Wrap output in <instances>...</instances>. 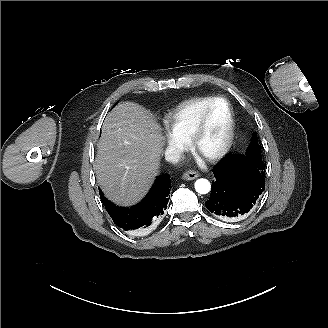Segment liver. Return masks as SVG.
<instances>
[{
  "label": "liver",
  "mask_w": 328,
  "mask_h": 328,
  "mask_svg": "<svg viewBox=\"0 0 328 328\" xmlns=\"http://www.w3.org/2000/svg\"><path fill=\"white\" fill-rule=\"evenodd\" d=\"M163 136L151 112L120 103L106 118L94 164L98 185L120 205L140 200L158 174Z\"/></svg>",
  "instance_id": "obj_1"
}]
</instances>
